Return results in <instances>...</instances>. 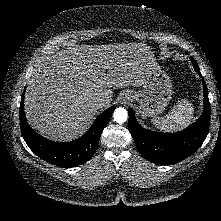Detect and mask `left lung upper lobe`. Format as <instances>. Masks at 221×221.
<instances>
[{
  "label": "left lung upper lobe",
  "mask_w": 221,
  "mask_h": 221,
  "mask_svg": "<svg viewBox=\"0 0 221 221\" xmlns=\"http://www.w3.org/2000/svg\"><path fill=\"white\" fill-rule=\"evenodd\" d=\"M191 60H192V64L194 65L195 69H198V65L196 63V61L194 60V58L191 57Z\"/></svg>",
  "instance_id": "obj_1"
}]
</instances>
